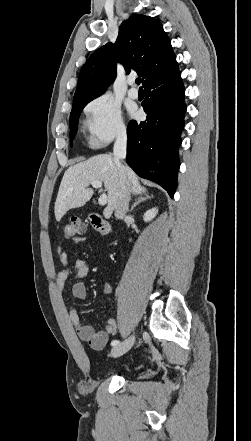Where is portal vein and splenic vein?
Here are the masks:
<instances>
[{"mask_svg":"<svg viewBox=\"0 0 251 441\" xmlns=\"http://www.w3.org/2000/svg\"><path fill=\"white\" fill-rule=\"evenodd\" d=\"M91 185L96 189H100L102 187V182L99 180L93 181ZM107 201H108L107 195L105 193H102L98 199L99 205L104 206L107 204Z\"/></svg>","mask_w":251,"mask_h":441,"instance_id":"portal-vein-and-splenic-vein-1","label":"portal vein and splenic vein"}]
</instances>
